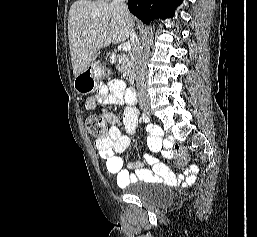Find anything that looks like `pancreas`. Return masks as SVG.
<instances>
[{"label": "pancreas", "instance_id": "pancreas-1", "mask_svg": "<svg viewBox=\"0 0 257 237\" xmlns=\"http://www.w3.org/2000/svg\"><path fill=\"white\" fill-rule=\"evenodd\" d=\"M118 58L119 63L122 65L123 71L127 74L129 83L133 84L135 76V64L132 53H121L118 55Z\"/></svg>", "mask_w": 257, "mask_h": 237}]
</instances>
